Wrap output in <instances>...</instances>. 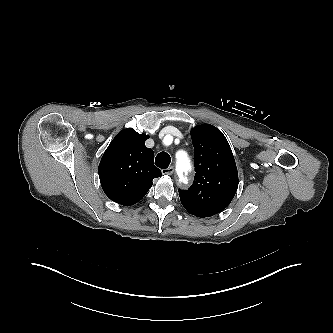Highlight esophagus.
<instances>
[{"label":"esophagus","instance_id":"esophagus-1","mask_svg":"<svg viewBox=\"0 0 333 333\" xmlns=\"http://www.w3.org/2000/svg\"><path fill=\"white\" fill-rule=\"evenodd\" d=\"M161 172H162V174L171 175L174 172V167L170 166L166 169H162Z\"/></svg>","mask_w":333,"mask_h":333}]
</instances>
